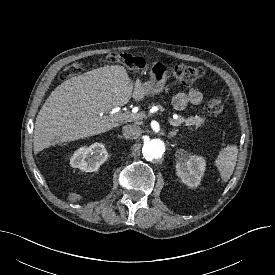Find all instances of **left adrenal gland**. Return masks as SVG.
Wrapping results in <instances>:
<instances>
[{
    "instance_id": "obj_1",
    "label": "left adrenal gland",
    "mask_w": 275,
    "mask_h": 275,
    "mask_svg": "<svg viewBox=\"0 0 275 275\" xmlns=\"http://www.w3.org/2000/svg\"><path fill=\"white\" fill-rule=\"evenodd\" d=\"M177 132H178V129H174V130L170 131L168 134V137L169 138L174 137L177 134Z\"/></svg>"
}]
</instances>
